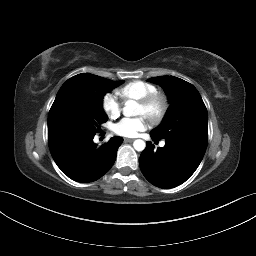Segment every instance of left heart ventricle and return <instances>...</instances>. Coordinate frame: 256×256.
Returning a JSON list of instances; mask_svg holds the SVG:
<instances>
[{"instance_id": "obj_1", "label": "left heart ventricle", "mask_w": 256, "mask_h": 256, "mask_svg": "<svg viewBox=\"0 0 256 256\" xmlns=\"http://www.w3.org/2000/svg\"><path fill=\"white\" fill-rule=\"evenodd\" d=\"M157 108V107H156ZM155 108V109H156ZM147 111L145 108H143L141 105H138V109H137V115H145L146 116Z\"/></svg>"}]
</instances>
